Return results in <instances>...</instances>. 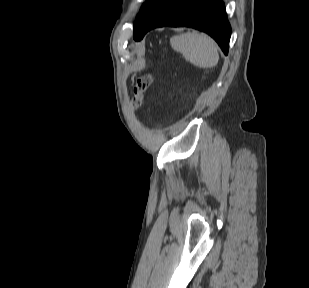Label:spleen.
Here are the masks:
<instances>
[{
	"label": "spleen",
	"instance_id": "3e777b00",
	"mask_svg": "<svg viewBox=\"0 0 309 288\" xmlns=\"http://www.w3.org/2000/svg\"><path fill=\"white\" fill-rule=\"evenodd\" d=\"M171 46L199 68H212L219 60L217 44L205 34L183 33L171 39Z\"/></svg>",
	"mask_w": 309,
	"mask_h": 288
}]
</instances>
